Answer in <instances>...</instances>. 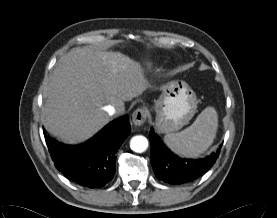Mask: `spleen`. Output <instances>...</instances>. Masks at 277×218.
Segmentation results:
<instances>
[{
	"label": "spleen",
	"instance_id": "spleen-1",
	"mask_svg": "<svg viewBox=\"0 0 277 218\" xmlns=\"http://www.w3.org/2000/svg\"><path fill=\"white\" fill-rule=\"evenodd\" d=\"M217 128V112L213 107H207L191 126L181 132L165 135L164 141L175 153L186 157H196L212 145Z\"/></svg>",
	"mask_w": 277,
	"mask_h": 218
}]
</instances>
